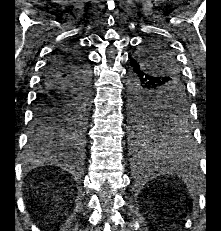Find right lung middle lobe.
<instances>
[{"instance_id":"1","label":"right lung middle lobe","mask_w":221,"mask_h":231,"mask_svg":"<svg viewBox=\"0 0 221 231\" xmlns=\"http://www.w3.org/2000/svg\"><path fill=\"white\" fill-rule=\"evenodd\" d=\"M88 110L89 100L86 101L84 96L78 95L67 99L59 110L52 111L53 124L40 137L56 138L62 130L69 141L83 144Z\"/></svg>"}]
</instances>
